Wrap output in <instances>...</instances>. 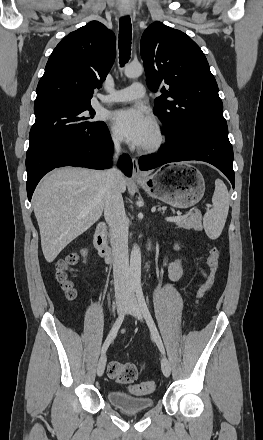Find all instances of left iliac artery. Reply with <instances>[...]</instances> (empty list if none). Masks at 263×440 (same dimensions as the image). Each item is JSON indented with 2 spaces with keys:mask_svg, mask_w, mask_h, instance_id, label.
I'll return each mask as SVG.
<instances>
[{
  "mask_svg": "<svg viewBox=\"0 0 263 440\" xmlns=\"http://www.w3.org/2000/svg\"><path fill=\"white\" fill-rule=\"evenodd\" d=\"M136 296H137V299H138L141 311H142V313L144 315V318H145V320L147 322V325H148V327L150 329L152 338L155 340V342H156L159 350L161 351V353L165 354V350H164V346H163L161 337H160V335L158 333L157 327H156V325L154 323V320H153V318H152V316L150 314V311H149V309L147 307V304H146V301H145V298H144L143 291H142L141 287H137L136 288Z\"/></svg>",
  "mask_w": 263,
  "mask_h": 440,
  "instance_id": "1",
  "label": "left iliac artery"
}]
</instances>
